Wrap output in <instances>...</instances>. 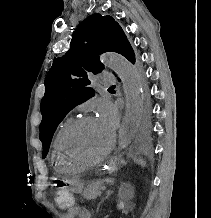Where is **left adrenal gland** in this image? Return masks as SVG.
I'll use <instances>...</instances> for the list:
<instances>
[{"mask_svg":"<svg viewBox=\"0 0 211 218\" xmlns=\"http://www.w3.org/2000/svg\"><path fill=\"white\" fill-rule=\"evenodd\" d=\"M111 194H113L112 190H107L104 200H107V198H109V196H111ZM104 200H102V202H104ZM102 202H100V204H98L97 212H98Z\"/></svg>","mask_w":211,"mask_h":218,"instance_id":"left-adrenal-gland-1","label":"left adrenal gland"}]
</instances>
